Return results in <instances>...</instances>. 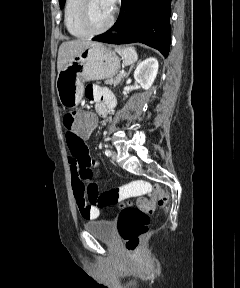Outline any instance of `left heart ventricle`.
<instances>
[{"mask_svg":"<svg viewBox=\"0 0 240 288\" xmlns=\"http://www.w3.org/2000/svg\"><path fill=\"white\" fill-rule=\"evenodd\" d=\"M88 13L91 26L99 28L108 21L112 11L107 8L103 0H90Z\"/></svg>","mask_w":240,"mask_h":288,"instance_id":"left-heart-ventricle-1","label":"left heart ventricle"}]
</instances>
